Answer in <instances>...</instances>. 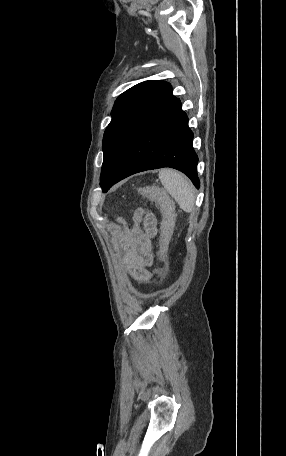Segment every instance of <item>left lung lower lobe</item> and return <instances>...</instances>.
I'll return each instance as SVG.
<instances>
[{
	"label": "left lung lower lobe",
	"mask_w": 286,
	"mask_h": 456,
	"mask_svg": "<svg viewBox=\"0 0 286 456\" xmlns=\"http://www.w3.org/2000/svg\"><path fill=\"white\" fill-rule=\"evenodd\" d=\"M193 133L188 117L175 99L136 137L115 171L108 189L118 181L141 171L171 167L185 173L200 187L198 157L192 147Z\"/></svg>",
	"instance_id": "1"
}]
</instances>
